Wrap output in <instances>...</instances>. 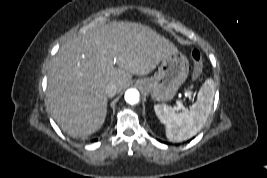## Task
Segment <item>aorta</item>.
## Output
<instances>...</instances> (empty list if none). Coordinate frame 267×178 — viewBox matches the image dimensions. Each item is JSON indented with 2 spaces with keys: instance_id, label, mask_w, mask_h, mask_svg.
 Listing matches in <instances>:
<instances>
[{
  "instance_id": "762f6f07",
  "label": "aorta",
  "mask_w": 267,
  "mask_h": 178,
  "mask_svg": "<svg viewBox=\"0 0 267 178\" xmlns=\"http://www.w3.org/2000/svg\"><path fill=\"white\" fill-rule=\"evenodd\" d=\"M125 101L128 103V104H137L139 102V99H140V94H139V91L137 89H128L126 92H125Z\"/></svg>"
}]
</instances>
